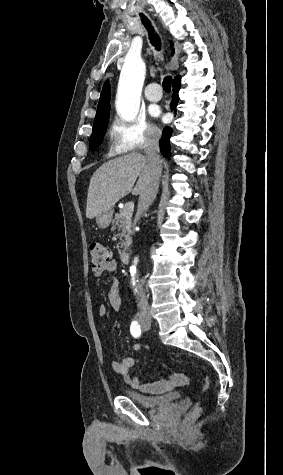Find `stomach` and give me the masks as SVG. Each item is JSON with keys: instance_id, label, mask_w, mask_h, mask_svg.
Wrapping results in <instances>:
<instances>
[{"instance_id": "0dacf381", "label": "stomach", "mask_w": 283, "mask_h": 475, "mask_svg": "<svg viewBox=\"0 0 283 475\" xmlns=\"http://www.w3.org/2000/svg\"><path fill=\"white\" fill-rule=\"evenodd\" d=\"M113 212L114 210L111 208V210H103L101 214L96 216V224L98 228H108V226H110L111 220L113 218Z\"/></svg>"}]
</instances>
